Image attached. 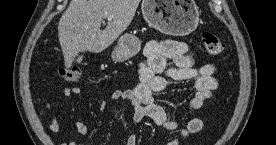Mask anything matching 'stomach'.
Here are the masks:
<instances>
[{"mask_svg": "<svg viewBox=\"0 0 276 145\" xmlns=\"http://www.w3.org/2000/svg\"><path fill=\"white\" fill-rule=\"evenodd\" d=\"M141 9L148 24L167 35H188L198 26L199 9L194 0H143ZM140 47L135 35L125 33L119 38L112 59L125 61L136 55Z\"/></svg>", "mask_w": 276, "mask_h": 145, "instance_id": "obj_1", "label": "stomach"}]
</instances>
